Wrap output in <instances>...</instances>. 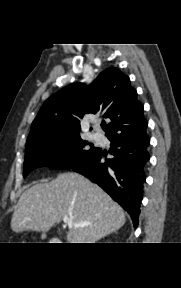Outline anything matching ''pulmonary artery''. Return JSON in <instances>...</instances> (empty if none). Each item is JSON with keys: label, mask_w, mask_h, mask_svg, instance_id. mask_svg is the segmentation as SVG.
Listing matches in <instances>:
<instances>
[{"label": "pulmonary artery", "mask_w": 181, "mask_h": 288, "mask_svg": "<svg viewBox=\"0 0 181 288\" xmlns=\"http://www.w3.org/2000/svg\"><path fill=\"white\" fill-rule=\"evenodd\" d=\"M93 139L97 142H101L103 140V136L100 133H94L93 134Z\"/></svg>", "instance_id": "pulmonary-artery-1"}]
</instances>
